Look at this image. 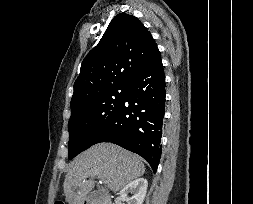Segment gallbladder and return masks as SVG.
<instances>
[{"label":"gallbladder","mask_w":253,"mask_h":204,"mask_svg":"<svg viewBox=\"0 0 253 204\" xmlns=\"http://www.w3.org/2000/svg\"><path fill=\"white\" fill-rule=\"evenodd\" d=\"M101 196V191H96L94 192L91 197H100Z\"/></svg>","instance_id":"1"}]
</instances>
